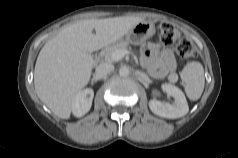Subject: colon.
Here are the masks:
<instances>
[{
  "instance_id": "5ec220e1",
  "label": "colon",
  "mask_w": 238,
  "mask_h": 158,
  "mask_svg": "<svg viewBox=\"0 0 238 158\" xmlns=\"http://www.w3.org/2000/svg\"><path fill=\"white\" fill-rule=\"evenodd\" d=\"M158 40L165 46L175 45L177 54L183 59H193L197 55L192 42L183 37L171 23L162 22L158 25Z\"/></svg>"
}]
</instances>
